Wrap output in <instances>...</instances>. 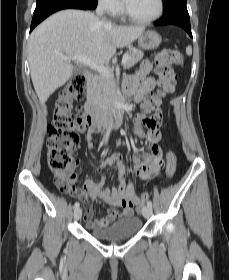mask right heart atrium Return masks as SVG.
Instances as JSON below:
<instances>
[{
  "label": "right heart atrium",
  "mask_w": 229,
  "mask_h": 280,
  "mask_svg": "<svg viewBox=\"0 0 229 280\" xmlns=\"http://www.w3.org/2000/svg\"><path fill=\"white\" fill-rule=\"evenodd\" d=\"M98 4L111 16L118 15L121 10L120 0H98Z\"/></svg>",
  "instance_id": "right-heart-atrium-1"
}]
</instances>
